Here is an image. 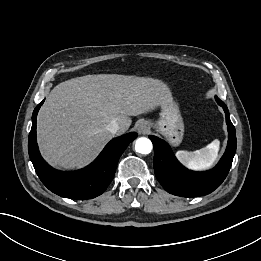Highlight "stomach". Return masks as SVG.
Listing matches in <instances>:
<instances>
[{
  "label": "stomach",
  "instance_id": "0dacf381",
  "mask_svg": "<svg viewBox=\"0 0 261 261\" xmlns=\"http://www.w3.org/2000/svg\"><path fill=\"white\" fill-rule=\"evenodd\" d=\"M156 128L173 146H178L184 135V124L178 105L171 99L161 105V113Z\"/></svg>",
  "mask_w": 261,
  "mask_h": 261
}]
</instances>
